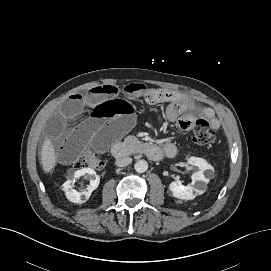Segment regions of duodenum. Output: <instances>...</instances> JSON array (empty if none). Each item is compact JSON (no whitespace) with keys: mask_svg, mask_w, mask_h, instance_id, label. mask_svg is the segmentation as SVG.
<instances>
[{"mask_svg":"<svg viewBox=\"0 0 271 271\" xmlns=\"http://www.w3.org/2000/svg\"><path fill=\"white\" fill-rule=\"evenodd\" d=\"M145 155L151 160H160L163 156L166 155L164 148L153 145L146 144L142 148ZM131 152V148L125 143H117L113 145L111 149V154L115 158H122L128 156Z\"/></svg>","mask_w":271,"mask_h":271,"instance_id":"duodenum-1","label":"duodenum"}]
</instances>
